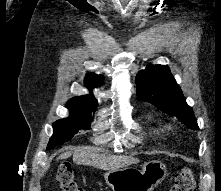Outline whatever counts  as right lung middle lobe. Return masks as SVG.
<instances>
[{
	"instance_id": "1",
	"label": "right lung middle lobe",
	"mask_w": 221,
	"mask_h": 191,
	"mask_svg": "<svg viewBox=\"0 0 221 191\" xmlns=\"http://www.w3.org/2000/svg\"><path fill=\"white\" fill-rule=\"evenodd\" d=\"M91 113L70 111L68 118L57 120L53 123V135L49 140L47 149L69 141L80 129H90Z\"/></svg>"
}]
</instances>
